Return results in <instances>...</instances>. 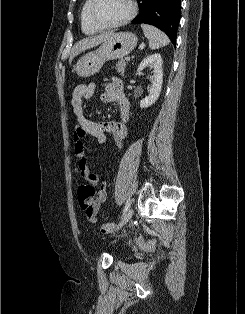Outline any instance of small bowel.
I'll list each match as a JSON object with an SVG mask.
<instances>
[{"mask_svg":"<svg viewBox=\"0 0 245 314\" xmlns=\"http://www.w3.org/2000/svg\"><path fill=\"white\" fill-rule=\"evenodd\" d=\"M95 89L96 84L94 82L79 84L73 90L71 101L77 119L73 141L75 154L80 158L78 163L79 174L83 179L98 188L94 201V210L91 214H86L92 222H96L99 208L107 199L106 188L108 183L90 170L88 161L85 158V137L91 136L103 143L109 135L118 150H120L128 133L127 122L129 120V104L121 91L120 83L116 80L103 84L100 100L103 103L118 102L121 119L119 121L95 122L86 118L83 113V105L86 100L93 96Z\"/></svg>","mask_w":245,"mask_h":314,"instance_id":"1","label":"small bowel"}]
</instances>
